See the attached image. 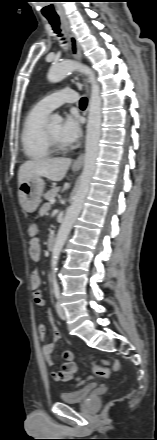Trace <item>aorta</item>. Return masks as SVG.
I'll use <instances>...</instances> for the list:
<instances>
[{
	"instance_id": "aorta-1",
	"label": "aorta",
	"mask_w": 157,
	"mask_h": 440,
	"mask_svg": "<svg viewBox=\"0 0 157 440\" xmlns=\"http://www.w3.org/2000/svg\"><path fill=\"white\" fill-rule=\"evenodd\" d=\"M73 71H79L88 76L91 84V95L86 130L84 168L80 176L79 186L73 203L67 209L64 221L62 222L55 239L51 257V277L53 280L56 278L55 272L57 270L62 248L75 220L83 208L84 202L89 193L92 177L96 169L99 139L101 135L102 100L100 96V86L96 81L95 73L86 65H82L76 61H65L52 65L49 69L47 78L50 82L57 83L63 80L69 73ZM61 121L62 118L59 115H53L51 117L52 124H59Z\"/></svg>"
}]
</instances>
